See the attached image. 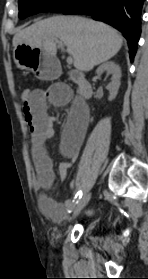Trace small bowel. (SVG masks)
Returning a JSON list of instances; mask_svg holds the SVG:
<instances>
[{
	"label": "small bowel",
	"instance_id": "c3829d8e",
	"mask_svg": "<svg viewBox=\"0 0 148 279\" xmlns=\"http://www.w3.org/2000/svg\"><path fill=\"white\" fill-rule=\"evenodd\" d=\"M71 100L70 88L56 83L44 90L33 91L32 99L23 102L24 118L32 134V157L37 169V178L33 186L38 192H43L54 178L51 160L43 146L44 142L55 134L54 121L48 114V106H65ZM89 122L87 106L81 101H75L61 134L60 151L67 158L59 165V176L63 181L67 179L69 167L78 158ZM71 202V199L57 202L44 192L39 197L41 210L55 220L64 218L67 209L72 205Z\"/></svg>",
	"mask_w": 148,
	"mask_h": 279
}]
</instances>
